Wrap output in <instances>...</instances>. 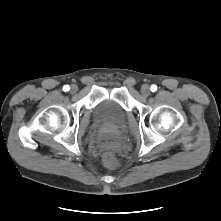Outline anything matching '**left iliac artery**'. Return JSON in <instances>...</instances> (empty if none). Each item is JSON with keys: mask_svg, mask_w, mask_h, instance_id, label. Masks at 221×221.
Listing matches in <instances>:
<instances>
[{"mask_svg": "<svg viewBox=\"0 0 221 221\" xmlns=\"http://www.w3.org/2000/svg\"><path fill=\"white\" fill-rule=\"evenodd\" d=\"M150 90H151L152 92H155V91L157 90V86H156V85H152L151 88H150Z\"/></svg>", "mask_w": 221, "mask_h": 221, "instance_id": "left-iliac-artery-1", "label": "left iliac artery"}]
</instances>
